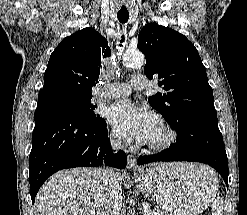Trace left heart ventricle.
<instances>
[{"label": "left heart ventricle", "mask_w": 247, "mask_h": 215, "mask_svg": "<svg viewBox=\"0 0 247 215\" xmlns=\"http://www.w3.org/2000/svg\"><path fill=\"white\" fill-rule=\"evenodd\" d=\"M160 138H161V131L159 127L157 126V128L155 129V131L153 132V134L151 135V137L149 138L147 142H154V141L159 140Z\"/></svg>", "instance_id": "obj_1"}]
</instances>
